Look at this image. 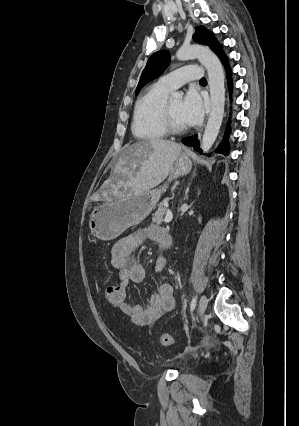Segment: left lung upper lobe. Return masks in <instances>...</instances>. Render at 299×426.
<instances>
[{
	"instance_id": "obj_1",
	"label": "left lung upper lobe",
	"mask_w": 299,
	"mask_h": 426,
	"mask_svg": "<svg viewBox=\"0 0 299 426\" xmlns=\"http://www.w3.org/2000/svg\"><path fill=\"white\" fill-rule=\"evenodd\" d=\"M196 42L209 46L216 54L222 50L220 44L213 36V33L206 29L204 26L196 27V32L193 35ZM170 62V56L167 51H159L154 53L148 60L140 81L138 83L136 94L140 89L149 81L158 77L164 72Z\"/></svg>"
}]
</instances>
